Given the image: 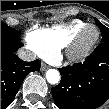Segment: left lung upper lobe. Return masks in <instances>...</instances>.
Instances as JSON below:
<instances>
[{"label": "left lung upper lobe", "mask_w": 109, "mask_h": 109, "mask_svg": "<svg viewBox=\"0 0 109 109\" xmlns=\"http://www.w3.org/2000/svg\"><path fill=\"white\" fill-rule=\"evenodd\" d=\"M94 20L101 31L102 41L109 42V28L100 23L96 18H94Z\"/></svg>", "instance_id": "5c2ea615"}]
</instances>
